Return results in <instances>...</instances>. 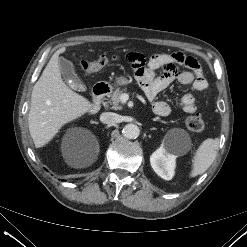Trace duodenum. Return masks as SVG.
Masks as SVG:
<instances>
[{"label":"duodenum","mask_w":247,"mask_h":247,"mask_svg":"<svg viewBox=\"0 0 247 247\" xmlns=\"http://www.w3.org/2000/svg\"><path fill=\"white\" fill-rule=\"evenodd\" d=\"M110 90L111 87L105 83H99L94 86L92 111L99 109L103 98L110 92Z\"/></svg>","instance_id":"1"}]
</instances>
